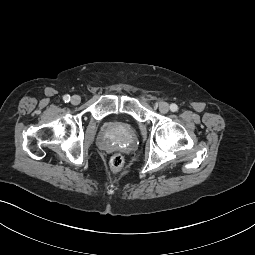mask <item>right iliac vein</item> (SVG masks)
I'll return each mask as SVG.
<instances>
[{
	"label": "right iliac vein",
	"mask_w": 255,
	"mask_h": 255,
	"mask_svg": "<svg viewBox=\"0 0 255 255\" xmlns=\"http://www.w3.org/2000/svg\"><path fill=\"white\" fill-rule=\"evenodd\" d=\"M80 101H81V98H80V96H78V95H74V96H72V98H71V103H72L73 105H78V104L80 103Z\"/></svg>",
	"instance_id": "1"
}]
</instances>
